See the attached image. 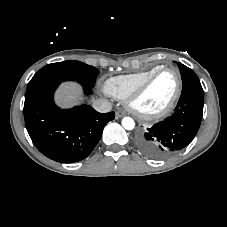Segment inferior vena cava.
Wrapping results in <instances>:
<instances>
[{"mask_svg":"<svg viewBox=\"0 0 227 227\" xmlns=\"http://www.w3.org/2000/svg\"><path fill=\"white\" fill-rule=\"evenodd\" d=\"M93 108L100 113L111 111L112 104L106 99H97L93 102Z\"/></svg>","mask_w":227,"mask_h":227,"instance_id":"602c4592","label":"inferior vena cava"}]
</instances>
